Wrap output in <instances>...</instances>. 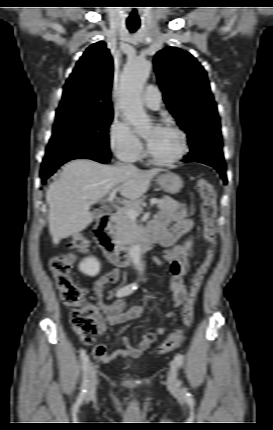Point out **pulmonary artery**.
I'll list each match as a JSON object with an SVG mask.
<instances>
[{"mask_svg":"<svg viewBox=\"0 0 273 430\" xmlns=\"http://www.w3.org/2000/svg\"><path fill=\"white\" fill-rule=\"evenodd\" d=\"M144 105L151 110H158L161 107V92L156 85H148L143 97Z\"/></svg>","mask_w":273,"mask_h":430,"instance_id":"1","label":"pulmonary artery"}]
</instances>
